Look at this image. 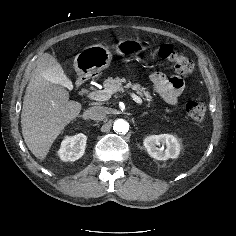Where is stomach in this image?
Returning <instances> with one entry per match:
<instances>
[{"mask_svg":"<svg viewBox=\"0 0 236 236\" xmlns=\"http://www.w3.org/2000/svg\"><path fill=\"white\" fill-rule=\"evenodd\" d=\"M119 55L135 54L146 49L138 38L128 37L118 41L115 45ZM112 53L101 44L84 48L74 59L76 73L82 77H92L107 68L112 60Z\"/></svg>","mask_w":236,"mask_h":236,"instance_id":"obj_1","label":"stomach"}]
</instances>
